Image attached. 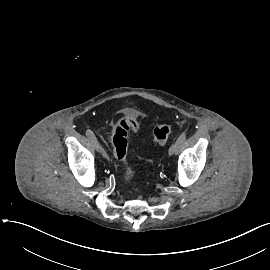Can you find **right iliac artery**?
Segmentation results:
<instances>
[{
	"label": "right iliac artery",
	"mask_w": 270,
	"mask_h": 270,
	"mask_svg": "<svg viewBox=\"0 0 270 270\" xmlns=\"http://www.w3.org/2000/svg\"><path fill=\"white\" fill-rule=\"evenodd\" d=\"M86 135H87V137H88L89 139H96L94 133H93L91 130H89V129L86 130ZM100 150H101L102 155H103L104 157H106V158L109 159V157H108V155L106 154L105 150H104L101 146H100Z\"/></svg>",
	"instance_id": "82829eb1"
}]
</instances>
